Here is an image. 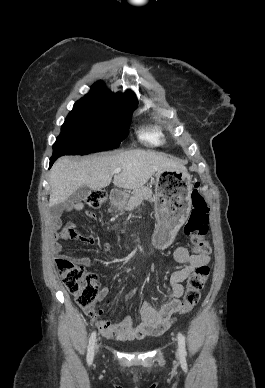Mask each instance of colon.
I'll list each match as a JSON object with an SVG mask.
<instances>
[{
	"instance_id": "5ec220e1",
	"label": "colon",
	"mask_w": 265,
	"mask_h": 388,
	"mask_svg": "<svg viewBox=\"0 0 265 388\" xmlns=\"http://www.w3.org/2000/svg\"><path fill=\"white\" fill-rule=\"evenodd\" d=\"M107 193L98 189L89 194L87 204L92 208H99L106 200ZM192 210L184 227V233L194 245V251L199 255H208L211 251L207 240L209 207L199 190L198 184L191 192ZM64 239H79L80 235L73 227H65L59 234ZM58 272L67 290L75 297L77 304L90 316H94V306L98 297L96 276L87 273L84 268L67 258L56 260ZM209 267L199 266L188 277L184 297L177 309L178 313H186L197 305L208 277Z\"/></svg>"
}]
</instances>
